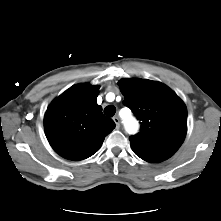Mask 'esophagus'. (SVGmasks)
Here are the masks:
<instances>
[{"label": "esophagus", "mask_w": 221, "mask_h": 221, "mask_svg": "<svg viewBox=\"0 0 221 221\" xmlns=\"http://www.w3.org/2000/svg\"><path fill=\"white\" fill-rule=\"evenodd\" d=\"M113 120H114V122L116 124V128L118 129L120 127V119L117 116H115L113 118Z\"/></svg>", "instance_id": "esophagus-1"}]
</instances>
